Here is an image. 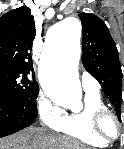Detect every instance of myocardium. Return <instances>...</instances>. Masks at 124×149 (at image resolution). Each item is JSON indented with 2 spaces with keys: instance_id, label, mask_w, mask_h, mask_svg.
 <instances>
[{
  "instance_id": "f54148a6",
  "label": "myocardium",
  "mask_w": 124,
  "mask_h": 149,
  "mask_svg": "<svg viewBox=\"0 0 124 149\" xmlns=\"http://www.w3.org/2000/svg\"><path fill=\"white\" fill-rule=\"evenodd\" d=\"M108 121H112L115 124V132L113 134L107 130L106 124ZM93 129L99 137L108 142L116 141L122 133V126L118 116L108 108L94 113Z\"/></svg>"
}]
</instances>
